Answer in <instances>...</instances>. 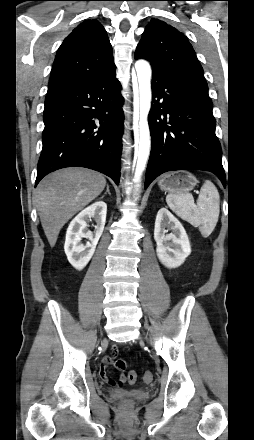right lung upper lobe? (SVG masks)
Returning <instances> with one entry per match:
<instances>
[{
    "label": "right lung upper lobe",
    "instance_id": "right-lung-upper-lobe-1",
    "mask_svg": "<svg viewBox=\"0 0 254 440\" xmlns=\"http://www.w3.org/2000/svg\"><path fill=\"white\" fill-rule=\"evenodd\" d=\"M112 46L97 20H86L70 33L59 47L48 91L83 79L114 72Z\"/></svg>",
    "mask_w": 254,
    "mask_h": 440
}]
</instances>
